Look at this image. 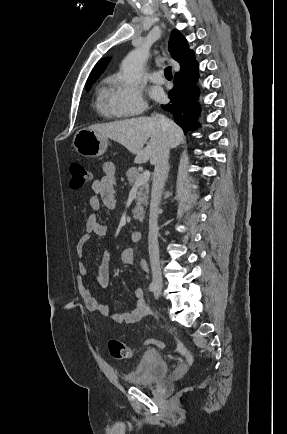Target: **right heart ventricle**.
Wrapping results in <instances>:
<instances>
[{"label": "right heart ventricle", "instance_id": "e07e8e85", "mask_svg": "<svg viewBox=\"0 0 287 434\" xmlns=\"http://www.w3.org/2000/svg\"><path fill=\"white\" fill-rule=\"evenodd\" d=\"M112 78L104 79L97 92V108L98 110L109 117H121L112 107L111 104V92H112Z\"/></svg>", "mask_w": 287, "mask_h": 434}]
</instances>
